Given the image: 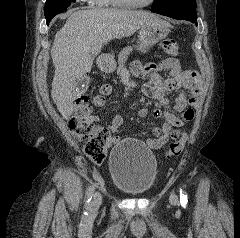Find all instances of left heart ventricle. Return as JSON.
Here are the masks:
<instances>
[{"label":"left heart ventricle","mask_w":240,"mask_h":238,"mask_svg":"<svg viewBox=\"0 0 240 238\" xmlns=\"http://www.w3.org/2000/svg\"><path fill=\"white\" fill-rule=\"evenodd\" d=\"M128 1L136 2V3H145V2H147L148 0H128Z\"/></svg>","instance_id":"left-heart-ventricle-1"}]
</instances>
